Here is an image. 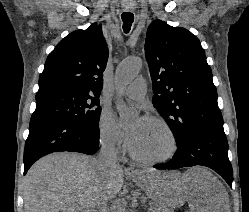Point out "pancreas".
<instances>
[{
	"label": "pancreas",
	"mask_w": 249,
	"mask_h": 212,
	"mask_svg": "<svg viewBox=\"0 0 249 212\" xmlns=\"http://www.w3.org/2000/svg\"><path fill=\"white\" fill-rule=\"evenodd\" d=\"M148 210H153V212H163V210H158L156 206H151V208H148Z\"/></svg>",
	"instance_id": "obj_1"
}]
</instances>
